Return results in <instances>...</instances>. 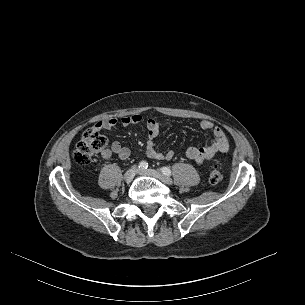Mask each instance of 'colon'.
I'll list each match as a JSON object with an SVG mask.
<instances>
[{"instance_id": "obj_1", "label": "colon", "mask_w": 305, "mask_h": 305, "mask_svg": "<svg viewBox=\"0 0 305 305\" xmlns=\"http://www.w3.org/2000/svg\"><path fill=\"white\" fill-rule=\"evenodd\" d=\"M108 147L107 138L99 132L96 128L86 129L75 150H74V159L77 163L81 165L89 164L95 155L101 152H105ZM222 179V174L217 165H214L209 174V181L211 184L216 185Z\"/></svg>"}]
</instances>
